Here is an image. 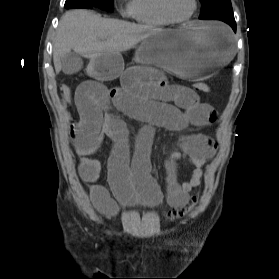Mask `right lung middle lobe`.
<instances>
[{
	"instance_id": "1",
	"label": "right lung middle lobe",
	"mask_w": 279,
	"mask_h": 279,
	"mask_svg": "<svg viewBox=\"0 0 279 279\" xmlns=\"http://www.w3.org/2000/svg\"><path fill=\"white\" fill-rule=\"evenodd\" d=\"M76 1L88 3L93 7H97L106 11H113L114 9L113 0H66L65 4H69Z\"/></svg>"
}]
</instances>
